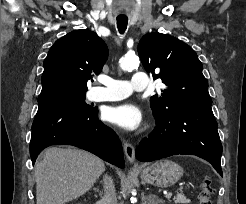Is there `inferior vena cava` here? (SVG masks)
Returning a JSON list of instances; mask_svg holds the SVG:
<instances>
[{"mask_svg": "<svg viewBox=\"0 0 246 204\" xmlns=\"http://www.w3.org/2000/svg\"><path fill=\"white\" fill-rule=\"evenodd\" d=\"M102 204H117L116 190L111 177L104 178V196Z\"/></svg>", "mask_w": 246, "mask_h": 204, "instance_id": "1", "label": "inferior vena cava"}]
</instances>
